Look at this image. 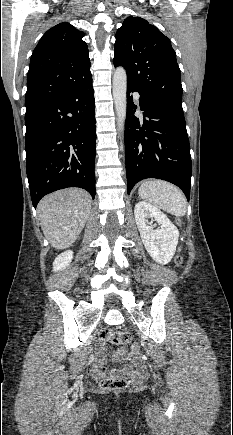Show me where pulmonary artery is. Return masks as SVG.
Returning a JSON list of instances; mask_svg holds the SVG:
<instances>
[{
    "mask_svg": "<svg viewBox=\"0 0 233 435\" xmlns=\"http://www.w3.org/2000/svg\"><path fill=\"white\" fill-rule=\"evenodd\" d=\"M135 98H136V100H139V94L138 93L135 94Z\"/></svg>",
    "mask_w": 233,
    "mask_h": 435,
    "instance_id": "1",
    "label": "pulmonary artery"
}]
</instances>
